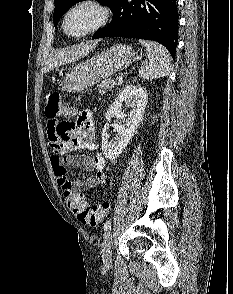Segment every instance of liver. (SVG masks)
<instances>
[{"mask_svg":"<svg viewBox=\"0 0 233 294\" xmlns=\"http://www.w3.org/2000/svg\"><path fill=\"white\" fill-rule=\"evenodd\" d=\"M97 43L98 42L96 41L92 44H81L76 47H72L71 49L63 50L59 53H56L55 55L49 58L44 68V71L48 72L58 65L71 63L81 59L85 55L89 54Z\"/></svg>","mask_w":233,"mask_h":294,"instance_id":"obj_1","label":"liver"}]
</instances>
